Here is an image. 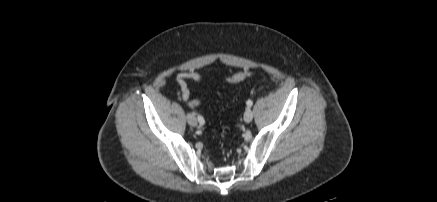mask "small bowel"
I'll return each mask as SVG.
<instances>
[{"label": "small bowel", "mask_w": 437, "mask_h": 202, "mask_svg": "<svg viewBox=\"0 0 437 202\" xmlns=\"http://www.w3.org/2000/svg\"><path fill=\"white\" fill-rule=\"evenodd\" d=\"M188 80H193L195 82H201L202 76L198 72L189 71V72H182L179 73L176 77V81L181 89V99L186 101L190 97V90L188 87ZM201 105V101L198 99H193L189 101L188 106L191 109H194Z\"/></svg>", "instance_id": "c3829d8e"}]
</instances>
